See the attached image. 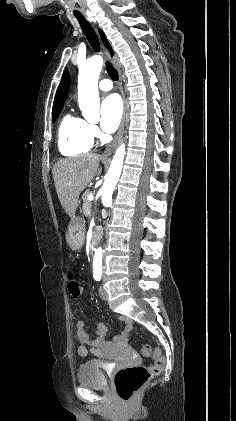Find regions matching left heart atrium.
<instances>
[{"label": "left heart atrium", "mask_w": 236, "mask_h": 421, "mask_svg": "<svg viewBox=\"0 0 236 421\" xmlns=\"http://www.w3.org/2000/svg\"><path fill=\"white\" fill-rule=\"evenodd\" d=\"M100 125L104 132L111 133L117 129L122 117V104L115 94L106 96L102 101Z\"/></svg>", "instance_id": "obj_1"}]
</instances>
